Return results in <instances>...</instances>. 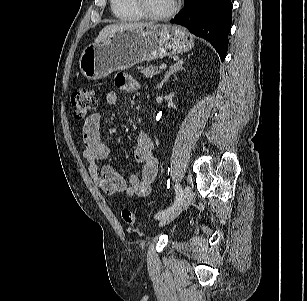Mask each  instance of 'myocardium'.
Wrapping results in <instances>:
<instances>
[{"label":"myocardium","mask_w":307,"mask_h":301,"mask_svg":"<svg viewBox=\"0 0 307 301\" xmlns=\"http://www.w3.org/2000/svg\"><path fill=\"white\" fill-rule=\"evenodd\" d=\"M132 1L137 11L143 17L153 21L165 20L172 17L173 15L176 14V12L179 10L180 7V0H174L173 6L168 11L158 14V13H153L148 9L145 0H132Z\"/></svg>","instance_id":"myocardium-1"}]
</instances>
